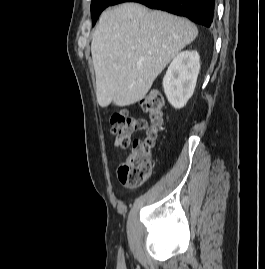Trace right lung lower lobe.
Segmentation results:
<instances>
[{
  "label": "right lung lower lobe",
  "mask_w": 265,
  "mask_h": 269,
  "mask_svg": "<svg viewBox=\"0 0 265 269\" xmlns=\"http://www.w3.org/2000/svg\"><path fill=\"white\" fill-rule=\"evenodd\" d=\"M123 2H137L152 9L185 16L206 27L211 26L215 10V0H114L111 5Z\"/></svg>",
  "instance_id": "1"
}]
</instances>
